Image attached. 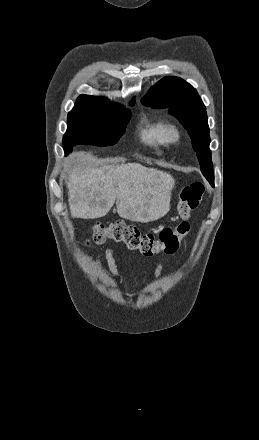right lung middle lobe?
I'll use <instances>...</instances> for the list:
<instances>
[{
	"mask_svg": "<svg viewBox=\"0 0 259 440\" xmlns=\"http://www.w3.org/2000/svg\"><path fill=\"white\" fill-rule=\"evenodd\" d=\"M130 115L129 110L123 109L120 105L108 108L75 105L68 113V128L63 137L65 153L68 154L77 144L95 146L115 144L122 136Z\"/></svg>",
	"mask_w": 259,
	"mask_h": 440,
	"instance_id": "dd1d6c3e",
	"label": "right lung middle lobe"
}]
</instances>
